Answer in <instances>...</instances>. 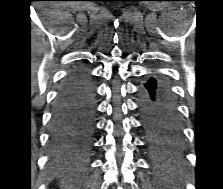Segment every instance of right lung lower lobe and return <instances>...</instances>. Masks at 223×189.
<instances>
[{
	"label": "right lung lower lobe",
	"mask_w": 223,
	"mask_h": 189,
	"mask_svg": "<svg viewBox=\"0 0 223 189\" xmlns=\"http://www.w3.org/2000/svg\"><path fill=\"white\" fill-rule=\"evenodd\" d=\"M94 83L84 68L74 69L62 83L50 124V145L59 153L83 152L93 132Z\"/></svg>",
	"instance_id": "right-lung-lower-lobe-1"
}]
</instances>
